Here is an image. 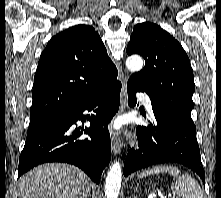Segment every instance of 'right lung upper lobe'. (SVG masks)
I'll list each match as a JSON object with an SVG mask.
<instances>
[{"label":"right lung upper lobe","instance_id":"1","mask_svg":"<svg viewBox=\"0 0 221 198\" xmlns=\"http://www.w3.org/2000/svg\"><path fill=\"white\" fill-rule=\"evenodd\" d=\"M118 71L95 29L77 25L55 35L34 77L30 123L68 112L108 88Z\"/></svg>","mask_w":221,"mask_h":198}]
</instances>
